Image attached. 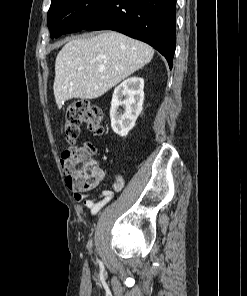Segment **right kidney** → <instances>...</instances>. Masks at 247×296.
Masks as SVG:
<instances>
[{
    "mask_svg": "<svg viewBox=\"0 0 247 296\" xmlns=\"http://www.w3.org/2000/svg\"><path fill=\"white\" fill-rule=\"evenodd\" d=\"M144 80L130 77L115 89L111 101L110 119L113 131L124 137L134 127L142 111L144 101ZM123 107V111L120 109Z\"/></svg>",
    "mask_w": 247,
    "mask_h": 296,
    "instance_id": "right-kidney-1",
    "label": "right kidney"
}]
</instances>
